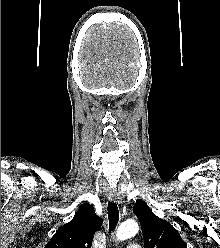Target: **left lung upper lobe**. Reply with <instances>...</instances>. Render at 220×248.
<instances>
[{
    "label": "left lung upper lobe",
    "mask_w": 220,
    "mask_h": 248,
    "mask_svg": "<svg viewBox=\"0 0 220 248\" xmlns=\"http://www.w3.org/2000/svg\"><path fill=\"white\" fill-rule=\"evenodd\" d=\"M133 212L139 219L145 248H187L178 231L153 214L145 202L137 201Z\"/></svg>",
    "instance_id": "left-lung-upper-lobe-1"
}]
</instances>
